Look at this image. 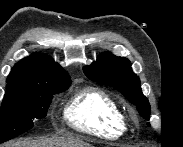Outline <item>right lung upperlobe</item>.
Listing matches in <instances>:
<instances>
[{"label":"right lung upper lobe","mask_w":183,"mask_h":147,"mask_svg":"<svg viewBox=\"0 0 183 147\" xmlns=\"http://www.w3.org/2000/svg\"><path fill=\"white\" fill-rule=\"evenodd\" d=\"M6 88L25 86L63 87L71 83L67 72L44 54H33L18 62L7 78Z\"/></svg>","instance_id":"1"}]
</instances>
